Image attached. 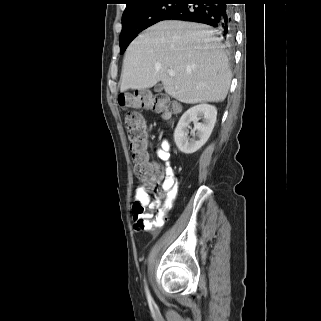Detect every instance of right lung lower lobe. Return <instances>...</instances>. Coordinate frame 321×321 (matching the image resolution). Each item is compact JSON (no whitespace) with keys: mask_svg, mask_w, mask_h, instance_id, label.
<instances>
[{"mask_svg":"<svg viewBox=\"0 0 321 321\" xmlns=\"http://www.w3.org/2000/svg\"><path fill=\"white\" fill-rule=\"evenodd\" d=\"M232 0H183L162 20H183L204 23L217 28L231 42L233 37Z\"/></svg>","mask_w":321,"mask_h":321,"instance_id":"1","label":"right lung lower lobe"}]
</instances>
